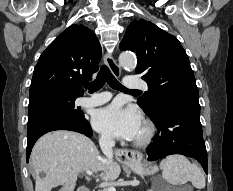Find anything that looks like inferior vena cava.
I'll use <instances>...</instances> for the list:
<instances>
[{
	"label": "inferior vena cava",
	"instance_id": "inferior-vena-cava-1",
	"mask_svg": "<svg viewBox=\"0 0 233 191\" xmlns=\"http://www.w3.org/2000/svg\"><path fill=\"white\" fill-rule=\"evenodd\" d=\"M100 148L104 155L106 156L103 159V162L106 164H110L113 162V147L115 145V141L111 137H102L99 141Z\"/></svg>",
	"mask_w": 233,
	"mask_h": 191
}]
</instances>
